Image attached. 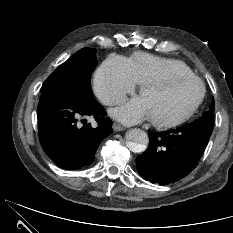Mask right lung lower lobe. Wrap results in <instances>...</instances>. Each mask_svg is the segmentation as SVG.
<instances>
[{
    "instance_id": "98d812e1",
    "label": "right lung lower lobe",
    "mask_w": 233,
    "mask_h": 233,
    "mask_svg": "<svg viewBox=\"0 0 233 233\" xmlns=\"http://www.w3.org/2000/svg\"><path fill=\"white\" fill-rule=\"evenodd\" d=\"M92 116L98 125L78 123ZM103 108L93 100L43 92L38 104L41 145L50 159L65 169H80L94 160L100 142L111 134V122Z\"/></svg>"
}]
</instances>
